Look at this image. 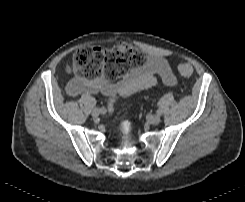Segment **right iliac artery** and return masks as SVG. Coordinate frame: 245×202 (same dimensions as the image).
<instances>
[{
    "instance_id": "82829eb1",
    "label": "right iliac artery",
    "mask_w": 245,
    "mask_h": 202,
    "mask_svg": "<svg viewBox=\"0 0 245 202\" xmlns=\"http://www.w3.org/2000/svg\"><path fill=\"white\" fill-rule=\"evenodd\" d=\"M103 110V114L106 112L105 108H101Z\"/></svg>"
}]
</instances>
